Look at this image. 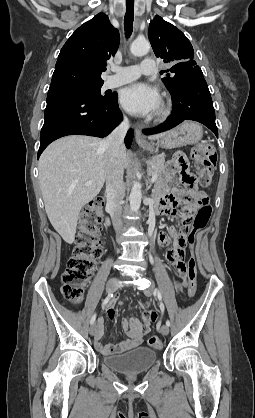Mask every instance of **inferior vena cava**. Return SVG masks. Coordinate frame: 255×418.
I'll use <instances>...</instances> for the list:
<instances>
[{"instance_id":"602c4592","label":"inferior vena cava","mask_w":255,"mask_h":418,"mask_svg":"<svg viewBox=\"0 0 255 418\" xmlns=\"http://www.w3.org/2000/svg\"><path fill=\"white\" fill-rule=\"evenodd\" d=\"M129 129V121L124 120L116 127L102 142V147L106 150V197L107 208L110 210L113 226L116 232L122 230V202L125 195L123 182V166L120 160V151L123 140Z\"/></svg>"}]
</instances>
